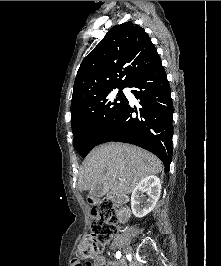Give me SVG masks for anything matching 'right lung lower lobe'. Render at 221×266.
Masks as SVG:
<instances>
[{"instance_id": "1", "label": "right lung lower lobe", "mask_w": 221, "mask_h": 266, "mask_svg": "<svg viewBox=\"0 0 221 266\" xmlns=\"http://www.w3.org/2000/svg\"><path fill=\"white\" fill-rule=\"evenodd\" d=\"M139 107L125 105L99 137L96 145L117 141L134 144L157 155L169 171L172 159L173 103L170 85L160 62L139 75L129 86Z\"/></svg>"}]
</instances>
